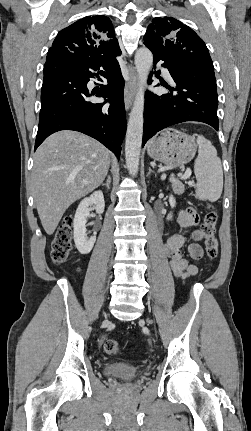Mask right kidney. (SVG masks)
Returning <instances> with one entry per match:
<instances>
[{"instance_id": "right-kidney-1", "label": "right kidney", "mask_w": 251, "mask_h": 431, "mask_svg": "<svg viewBox=\"0 0 251 431\" xmlns=\"http://www.w3.org/2000/svg\"><path fill=\"white\" fill-rule=\"evenodd\" d=\"M95 205L97 213H103L105 208L104 196L101 191H95L89 197L84 198L75 213L73 227H74V242L76 248L81 254H88L92 250L96 241V236L90 238L86 235V222L90 216L89 206Z\"/></svg>"}]
</instances>
